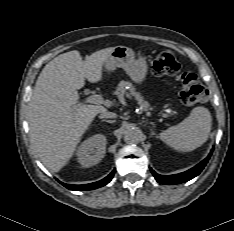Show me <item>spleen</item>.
Returning a JSON list of instances; mask_svg holds the SVG:
<instances>
[{
	"instance_id": "1",
	"label": "spleen",
	"mask_w": 234,
	"mask_h": 231,
	"mask_svg": "<svg viewBox=\"0 0 234 231\" xmlns=\"http://www.w3.org/2000/svg\"><path fill=\"white\" fill-rule=\"evenodd\" d=\"M211 124L210 111L205 107L197 106L180 124L161 132L159 138L177 151L190 152L206 142Z\"/></svg>"
}]
</instances>
